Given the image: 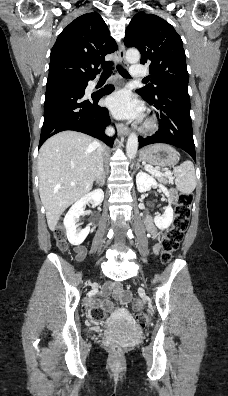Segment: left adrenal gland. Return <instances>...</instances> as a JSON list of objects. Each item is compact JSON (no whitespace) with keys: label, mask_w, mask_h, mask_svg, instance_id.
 <instances>
[{"label":"left adrenal gland","mask_w":228,"mask_h":396,"mask_svg":"<svg viewBox=\"0 0 228 396\" xmlns=\"http://www.w3.org/2000/svg\"><path fill=\"white\" fill-rule=\"evenodd\" d=\"M136 167H137V169H138L139 167H142V165H140V163L138 162L137 165H136Z\"/></svg>","instance_id":"left-adrenal-gland-1"}]
</instances>
